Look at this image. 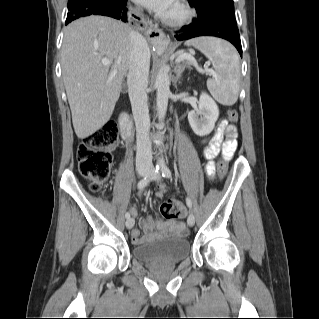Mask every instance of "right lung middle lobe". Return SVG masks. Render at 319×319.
<instances>
[{"label":"right lung middle lobe","mask_w":319,"mask_h":319,"mask_svg":"<svg viewBox=\"0 0 319 319\" xmlns=\"http://www.w3.org/2000/svg\"><path fill=\"white\" fill-rule=\"evenodd\" d=\"M120 0H68V14L66 23L79 17L87 16L88 12L106 9Z\"/></svg>","instance_id":"1"}]
</instances>
